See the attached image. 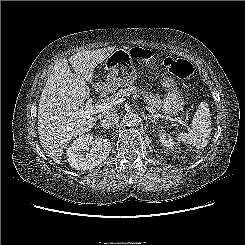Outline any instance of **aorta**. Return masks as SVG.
<instances>
[{"label":"aorta","mask_w":245,"mask_h":245,"mask_svg":"<svg viewBox=\"0 0 245 245\" xmlns=\"http://www.w3.org/2000/svg\"><path fill=\"white\" fill-rule=\"evenodd\" d=\"M124 123L127 126H136L139 123V117L133 112L126 113L123 118Z\"/></svg>","instance_id":"1"}]
</instances>
